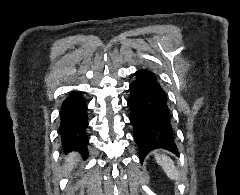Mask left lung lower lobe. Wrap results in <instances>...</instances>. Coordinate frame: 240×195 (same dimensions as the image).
<instances>
[{"instance_id": "0a47b994", "label": "left lung lower lobe", "mask_w": 240, "mask_h": 195, "mask_svg": "<svg viewBox=\"0 0 240 195\" xmlns=\"http://www.w3.org/2000/svg\"><path fill=\"white\" fill-rule=\"evenodd\" d=\"M129 86L130 122L138 144L140 160L158 148L178 155L170 124L167 96L157 76L148 69H139Z\"/></svg>"}]
</instances>
